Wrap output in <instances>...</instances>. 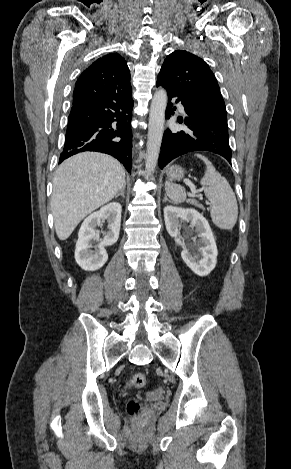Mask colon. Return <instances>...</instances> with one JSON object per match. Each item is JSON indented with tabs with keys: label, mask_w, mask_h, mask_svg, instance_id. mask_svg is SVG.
Instances as JSON below:
<instances>
[{
	"label": "colon",
	"mask_w": 291,
	"mask_h": 469,
	"mask_svg": "<svg viewBox=\"0 0 291 469\" xmlns=\"http://www.w3.org/2000/svg\"><path fill=\"white\" fill-rule=\"evenodd\" d=\"M147 383V377L142 372L132 374L126 381V387L129 389L143 388ZM146 409V404L139 400L132 399L127 403V412L133 417L141 416Z\"/></svg>",
	"instance_id": "colon-1"
}]
</instances>
